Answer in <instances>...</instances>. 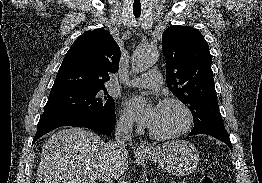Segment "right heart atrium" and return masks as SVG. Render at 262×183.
<instances>
[{"mask_svg": "<svg viewBox=\"0 0 262 183\" xmlns=\"http://www.w3.org/2000/svg\"><path fill=\"white\" fill-rule=\"evenodd\" d=\"M117 125L122 131L128 132L133 129L134 121L128 114L124 113L120 115Z\"/></svg>", "mask_w": 262, "mask_h": 183, "instance_id": "obj_1", "label": "right heart atrium"}]
</instances>
